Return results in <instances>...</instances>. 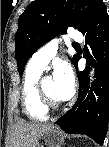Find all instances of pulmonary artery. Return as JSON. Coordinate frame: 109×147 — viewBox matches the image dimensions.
I'll return each mask as SVG.
<instances>
[{"label":"pulmonary artery","instance_id":"1","mask_svg":"<svg viewBox=\"0 0 109 147\" xmlns=\"http://www.w3.org/2000/svg\"><path fill=\"white\" fill-rule=\"evenodd\" d=\"M69 39L73 41L74 44H78L83 41V35L80 32L72 33L69 35ZM58 45L59 40H51L48 44L40 48L32 55L28 65L35 69L43 71L49 62L55 57Z\"/></svg>","mask_w":109,"mask_h":147}]
</instances>
